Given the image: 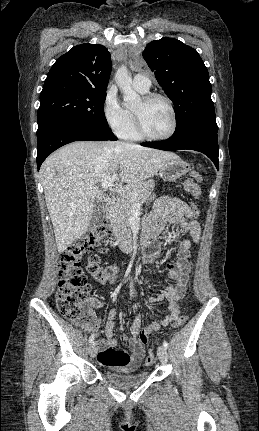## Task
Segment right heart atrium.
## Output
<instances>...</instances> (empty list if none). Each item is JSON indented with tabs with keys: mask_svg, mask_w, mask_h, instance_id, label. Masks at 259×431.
<instances>
[{
	"mask_svg": "<svg viewBox=\"0 0 259 431\" xmlns=\"http://www.w3.org/2000/svg\"><path fill=\"white\" fill-rule=\"evenodd\" d=\"M102 115L108 127L119 134L129 121V113L120 103L117 90L113 86L107 89L104 96Z\"/></svg>",
	"mask_w": 259,
	"mask_h": 431,
	"instance_id": "1",
	"label": "right heart atrium"
}]
</instances>
